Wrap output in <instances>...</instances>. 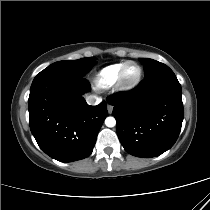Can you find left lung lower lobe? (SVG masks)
Listing matches in <instances>:
<instances>
[{
  "label": "left lung lower lobe",
  "instance_id": "0a47b994",
  "mask_svg": "<svg viewBox=\"0 0 210 210\" xmlns=\"http://www.w3.org/2000/svg\"><path fill=\"white\" fill-rule=\"evenodd\" d=\"M181 95V85L167 67L146 77L136 89L108 98L119 140L128 153L156 157L174 145L184 116Z\"/></svg>",
  "mask_w": 210,
  "mask_h": 210
}]
</instances>
